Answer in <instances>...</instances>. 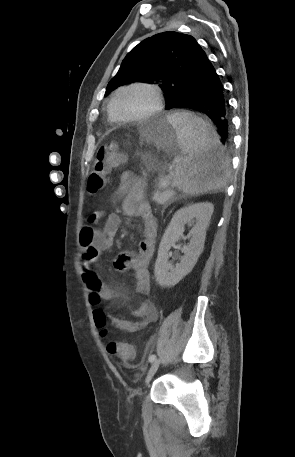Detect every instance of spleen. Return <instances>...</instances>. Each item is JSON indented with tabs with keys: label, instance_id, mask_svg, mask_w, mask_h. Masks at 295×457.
I'll return each mask as SVG.
<instances>
[{
	"label": "spleen",
	"instance_id": "3e777b00",
	"mask_svg": "<svg viewBox=\"0 0 295 457\" xmlns=\"http://www.w3.org/2000/svg\"><path fill=\"white\" fill-rule=\"evenodd\" d=\"M168 120L176 128L183 154L175 166L174 185L189 195L222 188L228 177V162L215 129L186 111L171 114Z\"/></svg>",
	"mask_w": 295,
	"mask_h": 457
}]
</instances>
